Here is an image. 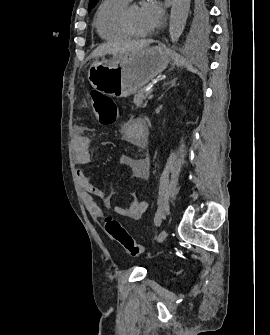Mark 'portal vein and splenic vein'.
<instances>
[{
  "mask_svg": "<svg viewBox=\"0 0 270 335\" xmlns=\"http://www.w3.org/2000/svg\"><path fill=\"white\" fill-rule=\"evenodd\" d=\"M148 92H151V90H148ZM148 97L149 98L147 100L151 101L154 98V93L151 92Z\"/></svg>",
  "mask_w": 270,
  "mask_h": 335,
  "instance_id": "1",
  "label": "portal vein and splenic vein"
}]
</instances>
